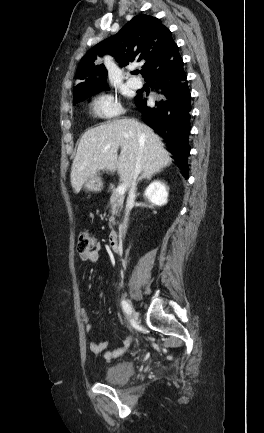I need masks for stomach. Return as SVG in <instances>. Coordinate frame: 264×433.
<instances>
[{
  "mask_svg": "<svg viewBox=\"0 0 264 433\" xmlns=\"http://www.w3.org/2000/svg\"><path fill=\"white\" fill-rule=\"evenodd\" d=\"M102 188V179L97 175L89 177L84 183V189L89 192H100Z\"/></svg>",
  "mask_w": 264,
  "mask_h": 433,
  "instance_id": "obj_1",
  "label": "stomach"
}]
</instances>
